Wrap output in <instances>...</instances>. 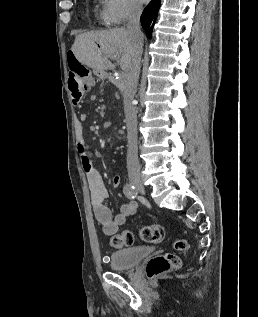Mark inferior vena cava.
<instances>
[{"label": "inferior vena cava", "instance_id": "1", "mask_svg": "<svg viewBox=\"0 0 258 317\" xmlns=\"http://www.w3.org/2000/svg\"><path fill=\"white\" fill-rule=\"evenodd\" d=\"M141 6L132 4L129 12L127 30L131 34L134 54L131 64L128 66V72L125 80V96L128 100L124 106L125 120L127 126V169L128 176L132 181L140 179V167L138 161L137 146V114L132 100L137 88V82L140 74L141 54L143 52V34L140 30Z\"/></svg>", "mask_w": 258, "mask_h": 317}]
</instances>
